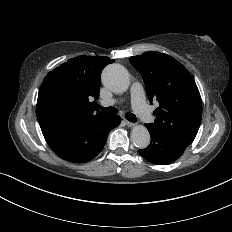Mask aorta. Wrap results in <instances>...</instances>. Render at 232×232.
Segmentation results:
<instances>
[{"label":"aorta","instance_id":"aorta-1","mask_svg":"<svg viewBox=\"0 0 232 232\" xmlns=\"http://www.w3.org/2000/svg\"><path fill=\"white\" fill-rule=\"evenodd\" d=\"M102 83L114 93L125 92L130 85L127 70L119 64H110L102 72ZM131 139L136 147L146 148L150 144V134L143 125H135L131 131Z\"/></svg>","mask_w":232,"mask_h":232}]
</instances>
